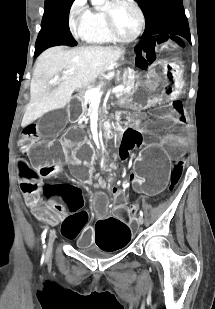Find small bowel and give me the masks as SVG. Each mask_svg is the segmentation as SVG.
I'll return each instance as SVG.
<instances>
[{
	"label": "small bowel",
	"instance_id": "1",
	"mask_svg": "<svg viewBox=\"0 0 215 309\" xmlns=\"http://www.w3.org/2000/svg\"><path fill=\"white\" fill-rule=\"evenodd\" d=\"M134 131H136V129L131 128V132H128L124 136L123 141H122V145H121L122 147H129V146L136 144L135 137H134V135H135ZM111 192H112V195H113L115 201H119L124 195V190H122L121 188H118V187H113ZM57 210L60 212V216L63 217L65 220L69 218V214L65 210L59 209V208H57ZM67 228H71V227H67Z\"/></svg>",
	"mask_w": 215,
	"mask_h": 309
}]
</instances>
